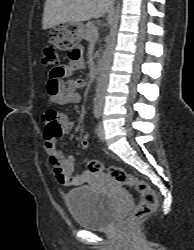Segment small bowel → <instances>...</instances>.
<instances>
[{"label": "small bowel", "instance_id": "small-bowel-1", "mask_svg": "<svg viewBox=\"0 0 194 250\" xmlns=\"http://www.w3.org/2000/svg\"><path fill=\"white\" fill-rule=\"evenodd\" d=\"M84 67L82 58L78 60L70 59V63L59 68L60 76H50L47 82V105L49 107L59 104H72L80 100L78 90L85 87L86 83L83 79H72L64 81L63 78L71 72ZM45 123L44 130V151L48 157V161L58 181L66 186H78L87 181L91 177V173L87 170L78 175H74V159L72 156L66 155L63 151L56 147V139L61 135L69 134L74 128V121L65 112H57L48 109L43 114Z\"/></svg>", "mask_w": 194, "mask_h": 250}]
</instances>
